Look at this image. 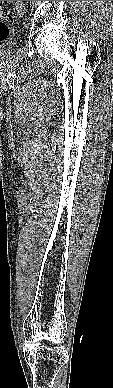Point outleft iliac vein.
<instances>
[{
	"mask_svg": "<svg viewBox=\"0 0 113 388\" xmlns=\"http://www.w3.org/2000/svg\"><path fill=\"white\" fill-rule=\"evenodd\" d=\"M16 9L19 17H23L26 13V7L24 5V1H16Z\"/></svg>",
	"mask_w": 113,
	"mask_h": 388,
	"instance_id": "obj_1",
	"label": "left iliac vein"
}]
</instances>
